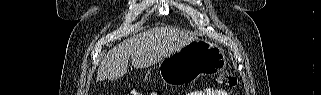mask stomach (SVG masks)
Listing matches in <instances>:
<instances>
[{"instance_id":"1","label":"stomach","mask_w":321,"mask_h":95,"mask_svg":"<svg viewBox=\"0 0 321 95\" xmlns=\"http://www.w3.org/2000/svg\"><path fill=\"white\" fill-rule=\"evenodd\" d=\"M225 66L224 51L217 44L197 39L161 60L159 72L163 82L178 85L217 74Z\"/></svg>"}]
</instances>
